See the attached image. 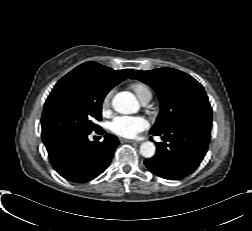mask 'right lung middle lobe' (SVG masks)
<instances>
[{
	"mask_svg": "<svg viewBox=\"0 0 252 231\" xmlns=\"http://www.w3.org/2000/svg\"><path fill=\"white\" fill-rule=\"evenodd\" d=\"M113 84L76 71L58 81L44 105L41 118L45 146L66 137L90 134L100 129L102 102Z\"/></svg>",
	"mask_w": 252,
	"mask_h": 231,
	"instance_id": "1",
	"label": "right lung middle lobe"
}]
</instances>
